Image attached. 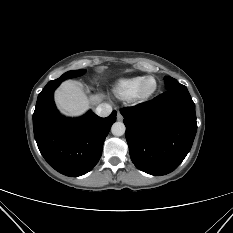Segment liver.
<instances>
[{
  "label": "liver",
  "instance_id": "1",
  "mask_svg": "<svg viewBox=\"0 0 233 233\" xmlns=\"http://www.w3.org/2000/svg\"><path fill=\"white\" fill-rule=\"evenodd\" d=\"M101 101V96L88 98L82 88L73 81H65L55 91V102L66 115L75 117L84 114L91 105Z\"/></svg>",
  "mask_w": 233,
  "mask_h": 233
}]
</instances>
